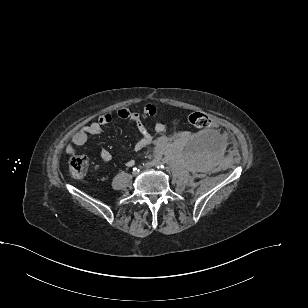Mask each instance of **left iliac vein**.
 Here are the masks:
<instances>
[{"mask_svg": "<svg viewBox=\"0 0 308 308\" xmlns=\"http://www.w3.org/2000/svg\"><path fill=\"white\" fill-rule=\"evenodd\" d=\"M146 167H147V168H151L152 165H151V164H147Z\"/></svg>", "mask_w": 308, "mask_h": 308, "instance_id": "obj_1", "label": "left iliac vein"}]
</instances>
